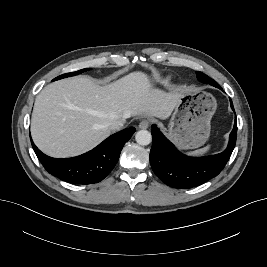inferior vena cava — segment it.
Instances as JSON below:
<instances>
[{
  "label": "inferior vena cava",
  "instance_id": "602c4592",
  "mask_svg": "<svg viewBox=\"0 0 267 267\" xmlns=\"http://www.w3.org/2000/svg\"><path fill=\"white\" fill-rule=\"evenodd\" d=\"M124 122L121 120L112 121L109 123L108 128L111 131H119L122 129Z\"/></svg>",
  "mask_w": 267,
  "mask_h": 267
}]
</instances>
